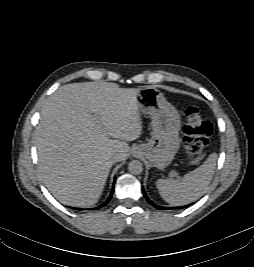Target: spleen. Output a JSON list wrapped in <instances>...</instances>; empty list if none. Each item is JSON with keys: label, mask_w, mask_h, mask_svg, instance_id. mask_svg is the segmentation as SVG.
<instances>
[{"label": "spleen", "mask_w": 254, "mask_h": 267, "mask_svg": "<svg viewBox=\"0 0 254 267\" xmlns=\"http://www.w3.org/2000/svg\"><path fill=\"white\" fill-rule=\"evenodd\" d=\"M217 154L212 153L198 168L180 179H159L156 186L161 197L173 206L189 204L200 198L208 189L215 173Z\"/></svg>", "instance_id": "spleen-1"}]
</instances>
